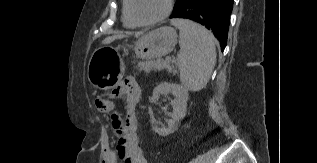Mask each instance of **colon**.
I'll return each mask as SVG.
<instances>
[{
  "mask_svg": "<svg viewBox=\"0 0 317 163\" xmlns=\"http://www.w3.org/2000/svg\"><path fill=\"white\" fill-rule=\"evenodd\" d=\"M96 107L100 111L108 112L112 110L113 105L109 100L103 97H98L96 99ZM111 119H112L113 127L119 131L121 129V118L119 114L117 112H113L111 115Z\"/></svg>",
  "mask_w": 317,
  "mask_h": 163,
  "instance_id": "colon-1",
  "label": "colon"
}]
</instances>
